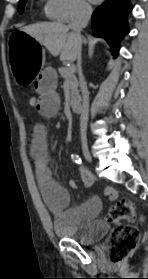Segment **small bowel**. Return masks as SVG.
I'll list each match as a JSON object with an SVG mask.
<instances>
[{
  "mask_svg": "<svg viewBox=\"0 0 148 279\" xmlns=\"http://www.w3.org/2000/svg\"><path fill=\"white\" fill-rule=\"evenodd\" d=\"M35 90L39 94L36 110L44 117L56 115L60 109V98L56 91L57 73L51 67L44 68L35 81ZM30 154L34 163L36 178L47 206L54 212H64V217L73 224H81L96 217L101 210V203L97 197H92L77 207L67 209L69 194L67 190L54 181L49 163L46 131L42 125H36L30 147ZM82 178L88 186L91 184V175L81 168ZM74 188L76 183L70 181ZM110 201L118 197L113 188L106 189Z\"/></svg>",
  "mask_w": 148,
  "mask_h": 279,
  "instance_id": "c3829d8e",
  "label": "small bowel"
}]
</instances>
